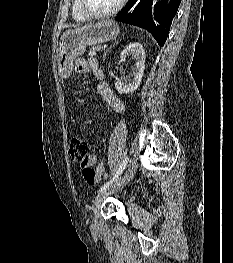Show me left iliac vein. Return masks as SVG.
I'll use <instances>...</instances> for the list:
<instances>
[{"label":"left iliac vein","instance_id":"1","mask_svg":"<svg viewBox=\"0 0 233 263\" xmlns=\"http://www.w3.org/2000/svg\"><path fill=\"white\" fill-rule=\"evenodd\" d=\"M138 164L136 161H133L123 176L118 178L115 183L105 191L101 192L100 194L97 195V197L94 200L92 210H93V228L97 229L98 228V213L100 210V207L102 203L105 201V199L112 193H115L122 189L135 175L136 170H137Z\"/></svg>","mask_w":233,"mask_h":263}]
</instances>
